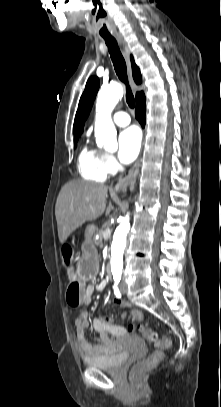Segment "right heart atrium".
I'll return each instance as SVG.
<instances>
[{"instance_id": "d8ad5b80", "label": "right heart atrium", "mask_w": 221, "mask_h": 407, "mask_svg": "<svg viewBox=\"0 0 221 407\" xmlns=\"http://www.w3.org/2000/svg\"><path fill=\"white\" fill-rule=\"evenodd\" d=\"M102 164L107 174H113L118 169L115 157L109 153H103Z\"/></svg>"}]
</instances>
